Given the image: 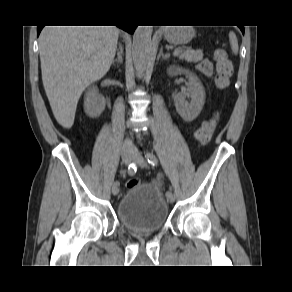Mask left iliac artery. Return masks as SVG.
Listing matches in <instances>:
<instances>
[{"mask_svg":"<svg viewBox=\"0 0 292 292\" xmlns=\"http://www.w3.org/2000/svg\"><path fill=\"white\" fill-rule=\"evenodd\" d=\"M145 157L148 163L151 164L152 166H156L158 164V159L153 153L146 152ZM170 193H172L171 189L166 192V196H168Z\"/></svg>","mask_w":292,"mask_h":292,"instance_id":"obj_1","label":"left iliac artery"}]
</instances>
